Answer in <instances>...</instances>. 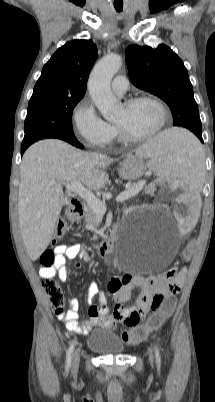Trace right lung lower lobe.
I'll return each mask as SVG.
<instances>
[{"instance_id": "98d812e1", "label": "right lung lower lobe", "mask_w": 215, "mask_h": 402, "mask_svg": "<svg viewBox=\"0 0 215 402\" xmlns=\"http://www.w3.org/2000/svg\"><path fill=\"white\" fill-rule=\"evenodd\" d=\"M67 142H69L70 144H72V145H74V146H76V147H79V148H81V149H83L84 148V146L82 145V144H80L79 142H78V140L74 137L73 139H70L69 141H67ZM28 146H30V145H22V147H21V155L24 153V151L28 148Z\"/></svg>"}]
</instances>
